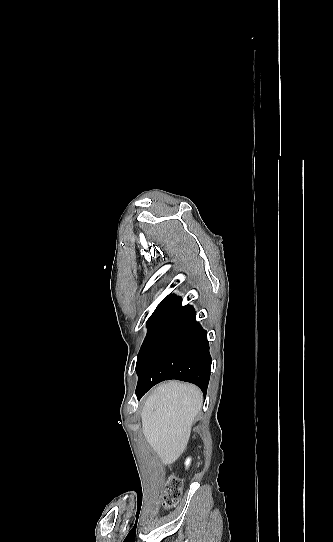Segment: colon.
<instances>
[{"instance_id":"1","label":"colon","mask_w":333,"mask_h":542,"mask_svg":"<svg viewBox=\"0 0 333 542\" xmlns=\"http://www.w3.org/2000/svg\"><path fill=\"white\" fill-rule=\"evenodd\" d=\"M182 493V483L175 476H170L168 478V483L166 485L164 495H163V505L166 508H171L176 506L181 498Z\"/></svg>"}]
</instances>
